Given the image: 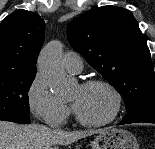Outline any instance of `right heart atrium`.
<instances>
[{"mask_svg": "<svg viewBox=\"0 0 155 149\" xmlns=\"http://www.w3.org/2000/svg\"><path fill=\"white\" fill-rule=\"evenodd\" d=\"M27 98L32 112L43 122L62 126L66 123L70 110L51 92L41 74H36L29 85Z\"/></svg>", "mask_w": 155, "mask_h": 149, "instance_id": "obj_1", "label": "right heart atrium"}]
</instances>
